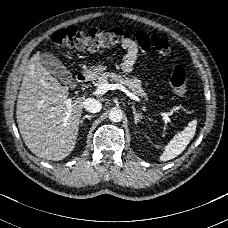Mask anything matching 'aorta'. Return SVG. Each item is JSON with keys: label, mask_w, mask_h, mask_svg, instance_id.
Masks as SVG:
<instances>
[{"label": "aorta", "mask_w": 228, "mask_h": 228, "mask_svg": "<svg viewBox=\"0 0 228 228\" xmlns=\"http://www.w3.org/2000/svg\"><path fill=\"white\" fill-rule=\"evenodd\" d=\"M123 112L120 109H112L109 112V120L113 123H119L122 121Z\"/></svg>", "instance_id": "1"}]
</instances>
